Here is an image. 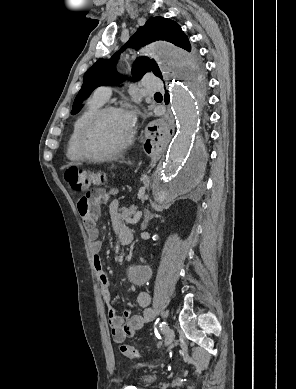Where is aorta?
I'll return each instance as SVG.
<instances>
[{
  "mask_svg": "<svg viewBox=\"0 0 296 389\" xmlns=\"http://www.w3.org/2000/svg\"><path fill=\"white\" fill-rule=\"evenodd\" d=\"M155 49L160 56L146 53L151 63H157L161 75L169 80L171 109L177 132L170 145L152 189L155 203L163 204L187 189H199L202 167H206L208 145L198 134L201 111L206 97L204 67H191V56L170 43L158 42ZM126 59H134V52H126ZM150 275L145 266L132 267L129 277L135 284L144 283Z\"/></svg>",
  "mask_w": 296,
  "mask_h": 389,
  "instance_id": "762f6f07",
  "label": "aorta"
}]
</instances>
